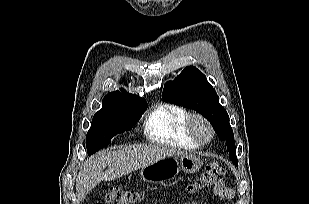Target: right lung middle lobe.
Returning a JSON list of instances; mask_svg holds the SVG:
<instances>
[{"label": "right lung middle lobe", "instance_id": "1", "mask_svg": "<svg viewBox=\"0 0 309 204\" xmlns=\"http://www.w3.org/2000/svg\"><path fill=\"white\" fill-rule=\"evenodd\" d=\"M146 109L145 100H124L102 105V109L94 115L87 133L88 155L107 146L115 135L131 130Z\"/></svg>", "mask_w": 309, "mask_h": 204}]
</instances>
